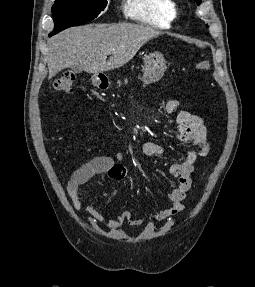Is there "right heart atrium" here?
Listing matches in <instances>:
<instances>
[{"mask_svg": "<svg viewBox=\"0 0 255 287\" xmlns=\"http://www.w3.org/2000/svg\"><path fill=\"white\" fill-rule=\"evenodd\" d=\"M106 48H126V47H106Z\"/></svg>", "mask_w": 255, "mask_h": 287, "instance_id": "1", "label": "right heart atrium"}]
</instances>
